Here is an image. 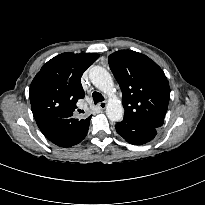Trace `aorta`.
I'll use <instances>...</instances> for the list:
<instances>
[{
	"label": "aorta",
	"mask_w": 205,
	"mask_h": 205,
	"mask_svg": "<svg viewBox=\"0 0 205 205\" xmlns=\"http://www.w3.org/2000/svg\"><path fill=\"white\" fill-rule=\"evenodd\" d=\"M92 84L108 95L106 115L113 122L121 121L124 114L123 106L114 95V82L110 73L101 66H93L89 71Z\"/></svg>",
	"instance_id": "obj_1"
}]
</instances>
